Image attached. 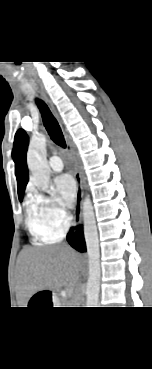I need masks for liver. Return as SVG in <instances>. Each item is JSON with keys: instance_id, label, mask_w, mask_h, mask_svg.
<instances>
[{"instance_id": "obj_1", "label": "liver", "mask_w": 152, "mask_h": 369, "mask_svg": "<svg viewBox=\"0 0 152 369\" xmlns=\"http://www.w3.org/2000/svg\"><path fill=\"white\" fill-rule=\"evenodd\" d=\"M80 267L78 254L67 246L25 248L19 256V289L29 298L41 290L57 289L66 282L75 283Z\"/></svg>"}]
</instances>
